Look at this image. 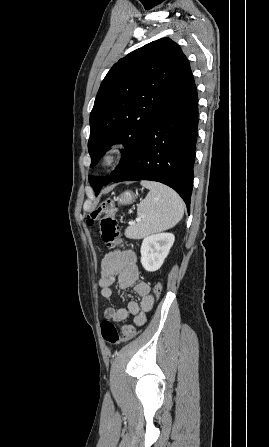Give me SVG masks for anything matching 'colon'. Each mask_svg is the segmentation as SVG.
<instances>
[{
  "label": "colon",
  "instance_id": "colon-1",
  "mask_svg": "<svg viewBox=\"0 0 269 447\" xmlns=\"http://www.w3.org/2000/svg\"><path fill=\"white\" fill-rule=\"evenodd\" d=\"M88 223L89 225L98 226L101 241L108 247H122L118 242L119 226L116 218V206L112 201L105 200L100 202L88 215ZM161 293L162 284L159 282L154 286L152 295L154 298H158ZM100 330L103 338L110 344L129 343L132 339L141 335V330H136L135 334L127 337L109 320L101 322Z\"/></svg>",
  "mask_w": 269,
  "mask_h": 447
}]
</instances>
